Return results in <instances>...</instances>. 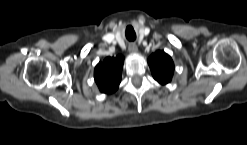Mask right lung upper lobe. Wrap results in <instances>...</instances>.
Wrapping results in <instances>:
<instances>
[{"label":"right lung upper lobe","instance_id":"right-lung-upper-lobe-1","mask_svg":"<svg viewBox=\"0 0 247 145\" xmlns=\"http://www.w3.org/2000/svg\"><path fill=\"white\" fill-rule=\"evenodd\" d=\"M124 57H107L99 62L94 70V78L101 92L111 94L118 89L121 81Z\"/></svg>","mask_w":247,"mask_h":145}]
</instances>
